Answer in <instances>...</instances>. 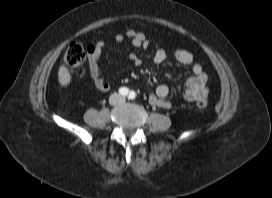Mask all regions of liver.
<instances>
[{
  "label": "liver",
  "instance_id": "6515ba94",
  "mask_svg": "<svg viewBox=\"0 0 272 198\" xmlns=\"http://www.w3.org/2000/svg\"><path fill=\"white\" fill-rule=\"evenodd\" d=\"M58 80L61 86L66 87L70 84L72 77L66 66L61 65L58 70Z\"/></svg>",
  "mask_w": 272,
  "mask_h": 198
}]
</instances>
